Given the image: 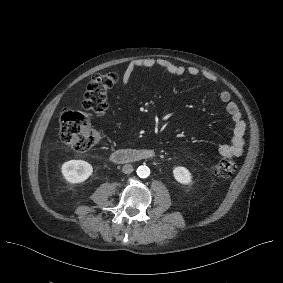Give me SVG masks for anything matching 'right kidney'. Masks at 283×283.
<instances>
[{"instance_id": "obj_1", "label": "right kidney", "mask_w": 283, "mask_h": 283, "mask_svg": "<svg viewBox=\"0 0 283 283\" xmlns=\"http://www.w3.org/2000/svg\"><path fill=\"white\" fill-rule=\"evenodd\" d=\"M61 171L64 178L74 184L87 180L91 176L93 168L84 160H70L62 165Z\"/></svg>"}]
</instances>
